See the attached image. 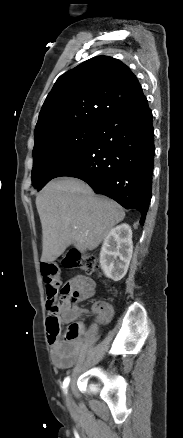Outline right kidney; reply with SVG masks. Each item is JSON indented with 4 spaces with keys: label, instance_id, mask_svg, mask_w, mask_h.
I'll return each mask as SVG.
<instances>
[{
    "label": "right kidney",
    "instance_id": "right-kidney-1",
    "mask_svg": "<svg viewBox=\"0 0 183 438\" xmlns=\"http://www.w3.org/2000/svg\"><path fill=\"white\" fill-rule=\"evenodd\" d=\"M132 253L131 227L124 223L111 229L100 252V266L106 277L121 280L127 273Z\"/></svg>",
    "mask_w": 183,
    "mask_h": 438
}]
</instances>
